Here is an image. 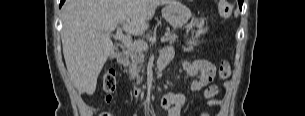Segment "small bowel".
<instances>
[{
	"instance_id": "1",
	"label": "small bowel",
	"mask_w": 305,
	"mask_h": 116,
	"mask_svg": "<svg viewBox=\"0 0 305 116\" xmlns=\"http://www.w3.org/2000/svg\"><path fill=\"white\" fill-rule=\"evenodd\" d=\"M173 57V49L165 47L160 58H167L169 61ZM183 68L192 77L191 89L199 91L204 89V96L208 106H218L220 100L216 98L218 87L212 84L216 68L212 62L206 59H197L192 62H184ZM187 103V98L181 93H167L161 100V107L168 112V116H182V110ZM200 116H208L206 113H200Z\"/></svg>"
}]
</instances>
